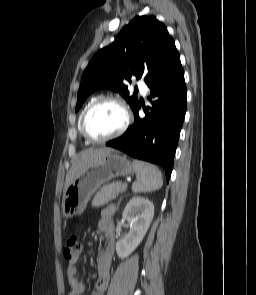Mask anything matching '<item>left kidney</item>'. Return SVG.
<instances>
[{
	"label": "left kidney",
	"mask_w": 256,
	"mask_h": 295,
	"mask_svg": "<svg viewBox=\"0 0 256 295\" xmlns=\"http://www.w3.org/2000/svg\"><path fill=\"white\" fill-rule=\"evenodd\" d=\"M123 219L130 224L129 233L116 243L119 258L128 257L141 243L154 216V205L146 198L135 196L123 211Z\"/></svg>",
	"instance_id": "obj_1"
}]
</instances>
